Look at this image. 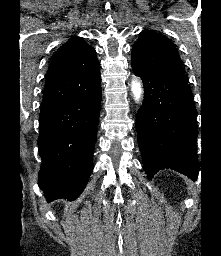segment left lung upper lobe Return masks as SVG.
Segmentation results:
<instances>
[{
	"mask_svg": "<svg viewBox=\"0 0 221 256\" xmlns=\"http://www.w3.org/2000/svg\"><path fill=\"white\" fill-rule=\"evenodd\" d=\"M132 70L138 75L185 77L174 44L162 34L145 30L132 47Z\"/></svg>",
	"mask_w": 221,
	"mask_h": 256,
	"instance_id": "5c2ea615",
	"label": "left lung upper lobe"
}]
</instances>
